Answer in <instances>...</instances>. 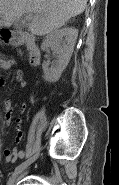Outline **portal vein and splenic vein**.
Listing matches in <instances>:
<instances>
[{
    "label": "portal vein and splenic vein",
    "instance_id": "18ae733b",
    "mask_svg": "<svg viewBox=\"0 0 119 185\" xmlns=\"http://www.w3.org/2000/svg\"><path fill=\"white\" fill-rule=\"evenodd\" d=\"M27 19L30 20L31 19V16L30 15L27 16ZM26 24H27V22L23 21V25H26Z\"/></svg>",
    "mask_w": 119,
    "mask_h": 185
}]
</instances>
